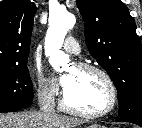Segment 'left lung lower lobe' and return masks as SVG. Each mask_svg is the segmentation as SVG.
I'll use <instances>...</instances> for the list:
<instances>
[{
    "mask_svg": "<svg viewBox=\"0 0 142 128\" xmlns=\"http://www.w3.org/2000/svg\"><path fill=\"white\" fill-rule=\"evenodd\" d=\"M118 122H130L142 126V120L138 119H127V120H117Z\"/></svg>",
    "mask_w": 142,
    "mask_h": 128,
    "instance_id": "obj_1",
    "label": "left lung lower lobe"
}]
</instances>
